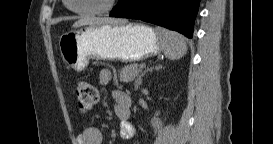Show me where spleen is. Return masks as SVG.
Wrapping results in <instances>:
<instances>
[{
  "instance_id": "spleen-1",
  "label": "spleen",
  "mask_w": 273,
  "mask_h": 144,
  "mask_svg": "<svg viewBox=\"0 0 273 144\" xmlns=\"http://www.w3.org/2000/svg\"><path fill=\"white\" fill-rule=\"evenodd\" d=\"M156 32L163 44L164 54L167 58L175 60L183 57L187 52V45L182 35L164 28H156Z\"/></svg>"
}]
</instances>
